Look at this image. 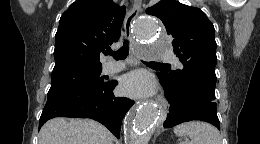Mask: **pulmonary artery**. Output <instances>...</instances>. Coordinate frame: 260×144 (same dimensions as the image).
Wrapping results in <instances>:
<instances>
[{
	"mask_svg": "<svg viewBox=\"0 0 260 144\" xmlns=\"http://www.w3.org/2000/svg\"><path fill=\"white\" fill-rule=\"evenodd\" d=\"M159 59L161 60L173 59V53L170 51H166L159 56ZM176 63L179 67H182V63L179 60H176ZM124 67H125L124 62H109L104 66V71L106 73H114V72L121 71Z\"/></svg>",
	"mask_w": 260,
	"mask_h": 144,
	"instance_id": "pulmonary-artery-1",
	"label": "pulmonary artery"
}]
</instances>
